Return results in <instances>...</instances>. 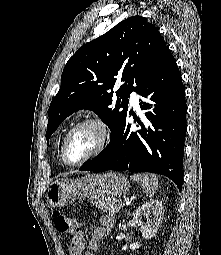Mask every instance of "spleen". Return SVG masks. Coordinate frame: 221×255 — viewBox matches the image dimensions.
Returning <instances> with one entry per match:
<instances>
[{
    "label": "spleen",
    "mask_w": 221,
    "mask_h": 255,
    "mask_svg": "<svg viewBox=\"0 0 221 255\" xmlns=\"http://www.w3.org/2000/svg\"><path fill=\"white\" fill-rule=\"evenodd\" d=\"M132 180L138 182L148 197H152L158 187V178L154 174H133L130 177Z\"/></svg>",
    "instance_id": "spleen-1"
}]
</instances>
